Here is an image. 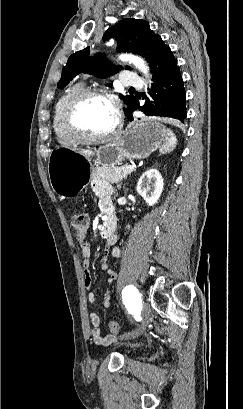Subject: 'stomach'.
Wrapping results in <instances>:
<instances>
[{
	"instance_id": "obj_1",
	"label": "stomach",
	"mask_w": 243,
	"mask_h": 409,
	"mask_svg": "<svg viewBox=\"0 0 243 409\" xmlns=\"http://www.w3.org/2000/svg\"><path fill=\"white\" fill-rule=\"evenodd\" d=\"M166 135L165 126L157 120L134 121L113 141L97 149H54L48 160L51 187L60 196L80 193L89 182L94 164L114 167L124 159H143L157 148Z\"/></svg>"
}]
</instances>
